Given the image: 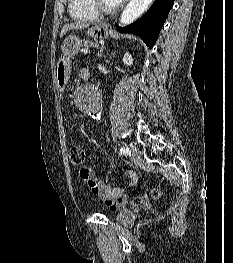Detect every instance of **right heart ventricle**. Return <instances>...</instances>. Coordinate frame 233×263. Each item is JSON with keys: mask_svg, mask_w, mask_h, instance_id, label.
Wrapping results in <instances>:
<instances>
[{"mask_svg": "<svg viewBox=\"0 0 233 263\" xmlns=\"http://www.w3.org/2000/svg\"><path fill=\"white\" fill-rule=\"evenodd\" d=\"M69 12L72 18L80 21H91L98 16L89 0H69Z\"/></svg>", "mask_w": 233, "mask_h": 263, "instance_id": "e07e8e85", "label": "right heart ventricle"}]
</instances>
